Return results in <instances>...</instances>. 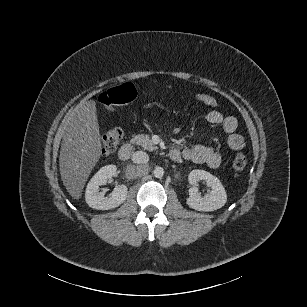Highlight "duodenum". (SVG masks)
Wrapping results in <instances>:
<instances>
[{"label": "duodenum", "mask_w": 307, "mask_h": 307, "mask_svg": "<svg viewBox=\"0 0 307 307\" xmlns=\"http://www.w3.org/2000/svg\"><path fill=\"white\" fill-rule=\"evenodd\" d=\"M132 151H133V148H132L131 144L126 143V144L122 145L121 148L119 149V152H118L119 159L122 160V161L128 160L131 157ZM169 157L172 160H176L178 158L177 151L171 150L169 152Z\"/></svg>", "instance_id": "1"}]
</instances>
